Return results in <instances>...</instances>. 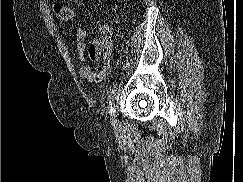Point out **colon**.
<instances>
[{
    "label": "colon",
    "instance_id": "5ec220e1",
    "mask_svg": "<svg viewBox=\"0 0 243 182\" xmlns=\"http://www.w3.org/2000/svg\"><path fill=\"white\" fill-rule=\"evenodd\" d=\"M55 14L61 20H71L74 16L73 8L66 3H56L53 7ZM111 51V43L108 34L105 31L100 33V42L97 52L109 54Z\"/></svg>",
    "mask_w": 243,
    "mask_h": 182
}]
</instances>
